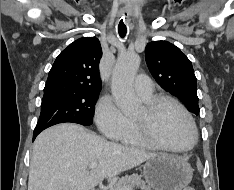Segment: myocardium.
Segmentation results:
<instances>
[{
	"label": "myocardium",
	"mask_w": 234,
	"mask_h": 190,
	"mask_svg": "<svg viewBox=\"0 0 234 190\" xmlns=\"http://www.w3.org/2000/svg\"><path fill=\"white\" fill-rule=\"evenodd\" d=\"M165 105H173L177 107L187 118L193 131V140L190 145L186 147L170 146L168 144H165L157 136L155 132V121L160 109ZM135 122L138 126L141 135L155 147L174 152H186L191 150L198 141V130L192 115L183 104H181L178 100L170 96L159 95L145 102L143 106V114L140 117H136Z\"/></svg>",
	"instance_id": "obj_1"
}]
</instances>
